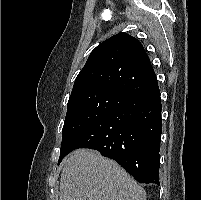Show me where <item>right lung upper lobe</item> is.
Returning a JSON list of instances; mask_svg holds the SVG:
<instances>
[{"label":"right lung upper lobe","instance_id":"obj_1","mask_svg":"<svg viewBox=\"0 0 201 200\" xmlns=\"http://www.w3.org/2000/svg\"><path fill=\"white\" fill-rule=\"evenodd\" d=\"M157 84L156 74L142 44L126 33H119L91 52L75 79L70 96L109 90L131 98Z\"/></svg>","mask_w":201,"mask_h":200}]
</instances>
